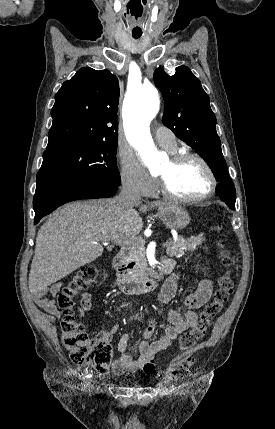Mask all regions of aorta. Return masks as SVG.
<instances>
[{
  "label": "aorta",
  "instance_id": "762f6f07",
  "mask_svg": "<svg viewBox=\"0 0 275 429\" xmlns=\"http://www.w3.org/2000/svg\"><path fill=\"white\" fill-rule=\"evenodd\" d=\"M160 109V97L153 85L132 89L123 105L124 129L129 143L141 154L150 171L158 170L160 158L149 125Z\"/></svg>",
  "mask_w": 275,
  "mask_h": 429
}]
</instances>
